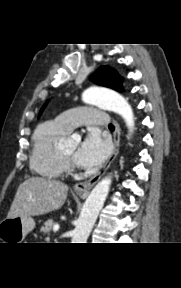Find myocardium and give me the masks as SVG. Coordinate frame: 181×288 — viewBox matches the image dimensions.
<instances>
[{"label":"myocardium","mask_w":181,"mask_h":288,"mask_svg":"<svg viewBox=\"0 0 181 288\" xmlns=\"http://www.w3.org/2000/svg\"><path fill=\"white\" fill-rule=\"evenodd\" d=\"M61 154L67 167L70 169H74L76 167L74 160L70 158L69 156H67L62 149H61Z\"/></svg>","instance_id":"1"}]
</instances>
